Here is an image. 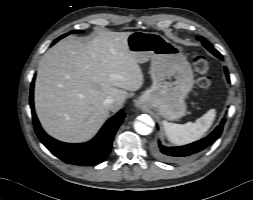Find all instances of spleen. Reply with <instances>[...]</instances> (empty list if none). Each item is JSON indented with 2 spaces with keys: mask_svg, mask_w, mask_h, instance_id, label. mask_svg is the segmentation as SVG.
<instances>
[{
  "mask_svg": "<svg viewBox=\"0 0 253 200\" xmlns=\"http://www.w3.org/2000/svg\"><path fill=\"white\" fill-rule=\"evenodd\" d=\"M216 110L210 109L194 123L175 124L163 121V127L168 140L177 146L186 145L201 139L212 126Z\"/></svg>",
  "mask_w": 253,
  "mask_h": 200,
  "instance_id": "3e777b00",
  "label": "spleen"
}]
</instances>
